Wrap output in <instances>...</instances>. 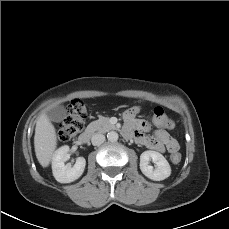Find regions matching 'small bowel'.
Segmentation results:
<instances>
[{"label": "small bowel", "instance_id": "c3829d8e", "mask_svg": "<svg viewBox=\"0 0 229 229\" xmlns=\"http://www.w3.org/2000/svg\"><path fill=\"white\" fill-rule=\"evenodd\" d=\"M139 113L140 108L138 106L131 107L124 112L125 126L123 131L126 132L124 134L126 138H133L138 144L158 152H164L171 142L178 145L177 141L167 131L172 126H168L165 120L166 115L161 107L154 109L153 124L158 129L151 136H145L139 132V130L147 129L146 122L138 118Z\"/></svg>", "mask_w": 229, "mask_h": 229}]
</instances>
